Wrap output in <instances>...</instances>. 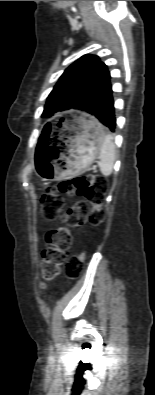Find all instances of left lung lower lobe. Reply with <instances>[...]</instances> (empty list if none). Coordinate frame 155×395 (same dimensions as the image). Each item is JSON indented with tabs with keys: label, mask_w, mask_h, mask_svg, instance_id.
<instances>
[{
	"label": "left lung lower lobe",
	"mask_w": 155,
	"mask_h": 395,
	"mask_svg": "<svg viewBox=\"0 0 155 395\" xmlns=\"http://www.w3.org/2000/svg\"><path fill=\"white\" fill-rule=\"evenodd\" d=\"M109 76L82 101L80 109L97 118L105 127L114 132L116 119L114 101Z\"/></svg>",
	"instance_id": "left-lung-lower-lobe-1"
}]
</instances>
